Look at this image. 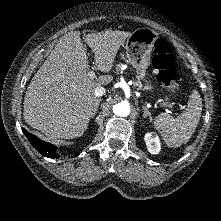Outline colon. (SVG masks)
I'll return each mask as SVG.
<instances>
[{
    "label": "colon",
    "instance_id": "5ec220e1",
    "mask_svg": "<svg viewBox=\"0 0 221 221\" xmlns=\"http://www.w3.org/2000/svg\"><path fill=\"white\" fill-rule=\"evenodd\" d=\"M153 66L157 80L175 94L178 91L175 58L170 44L165 39H158L153 49Z\"/></svg>",
    "mask_w": 221,
    "mask_h": 221
}]
</instances>
